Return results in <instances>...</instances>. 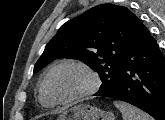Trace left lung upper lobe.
Returning a JSON list of instances; mask_svg holds the SVG:
<instances>
[{
  "instance_id": "obj_1",
  "label": "left lung upper lobe",
  "mask_w": 165,
  "mask_h": 120,
  "mask_svg": "<svg viewBox=\"0 0 165 120\" xmlns=\"http://www.w3.org/2000/svg\"><path fill=\"white\" fill-rule=\"evenodd\" d=\"M146 27L124 6L102 4L63 24L46 45L34 73L58 58L77 59L98 72L97 96L113 91L120 82L127 51Z\"/></svg>"
}]
</instances>
